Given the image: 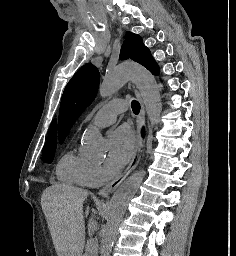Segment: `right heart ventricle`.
<instances>
[{
	"label": "right heart ventricle",
	"mask_w": 236,
	"mask_h": 256,
	"mask_svg": "<svg viewBox=\"0 0 236 256\" xmlns=\"http://www.w3.org/2000/svg\"><path fill=\"white\" fill-rule=\"evenodd\" d=\"M89 163L83 158L67 153L58 162L56 168L57 178L63 183L83 185V172Z\"/></svg>",
	"instance_id": "1"
}]
</instances>
